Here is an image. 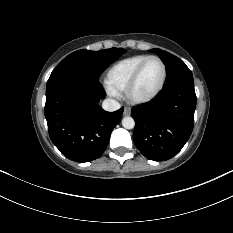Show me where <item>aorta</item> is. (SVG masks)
<instances>
[{"label": "aorta", "instance_id": "aorta-1", "mask_svg": "<svg viewBox=\"0 0 233 233\" xmlns=\"http://www.w3.org/2000/svg\"><path fill=\"white\" fill-rule=\"evenodd\" d=\"M122 126L125 129H133L135 126V121L132 117L126 116L122 119Z\"/></svg>", "mask_w": 233, "mask_h": 233}]
</instances>
